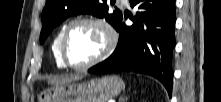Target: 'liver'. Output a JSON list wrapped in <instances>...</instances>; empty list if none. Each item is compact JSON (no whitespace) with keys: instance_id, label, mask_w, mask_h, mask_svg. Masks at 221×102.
<instances>
[{"instance_id":"liver-1","label":"liver","mask_w":221,"mask_h":102,"mask_svg":"<svg viewBox=\"0 0 221 102\" xmlns=\"http://www.w3.org/2000/svg\"><path fill=\"white\" fill-rule=\"evenodd\" d=\"M66 82H69V80L58 79V80L51 81V83H54V84H61V83H66Z\"/></svg>"}]
</instances>
